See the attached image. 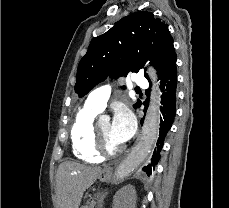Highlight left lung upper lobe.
<instances>
[{
    "mask_svg": "<svg viewBox=\"0 0 229 208\" xmlns=\"http://www.w3.org/2000/svg\"><path fill=\"white\" fill-rule=\"evenodd\" d=\"M176 58L168 25L152 12H134L91 41L78 65L75 92L83 97L109 75L118 78L138 72L148 60L161 80ZM145 77L149 80L146 73ZM140 104L138 100L134 107Z\"/></svg>",
    "mask_w": 229,
    "mask_h": 208,
    "instance_id": "5c2ea615",
    "label": "left lung upper lobe"
}]
</instances>
